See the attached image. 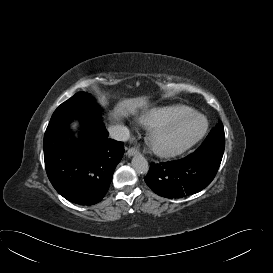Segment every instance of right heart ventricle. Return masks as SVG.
Here are the masks:
<instances>
[{
  "label": "right heart ventricle",
  "mask_w": 273,
  "mask_h": 273,
  "mask_svg": "<svg viewBox=\"0 0 273 273\" xmlns=\"http://www.w3.org/2000/svg\"><path fill=\"white\" fill-rule=\"evenodd\" d=\"M192 112V108L186 105H173L153 110L146 117L142 118V122L146 126L158 127L167 126L176 123Z\"/></svg>",
  "instance_id": "1"
}]
</instances>
